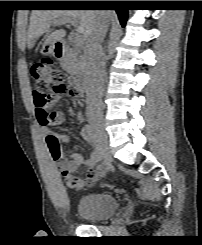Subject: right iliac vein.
Masks as SVG:
<instances>
[{"instance_id":"1","label":"right iliac vein","mask_w":202,"mask_h":245,"mask_svg":"<svg viewBox=\"0 0 202 245\" xmlns=\"http://www.w3.org/2000/svg\"><path fill=\"white\" fill-rule=\"evenodd\" d=\"M89 122L94 127L98 136V140L104 148V153L108 157L110 154L109 147H108L109 140H108V135L104 130L103 122L94 117H89Z\"/></svg>"}]
</instances>
